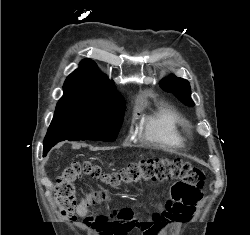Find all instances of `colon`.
I'll return each mask as SVG.
<instances>
[{"mask_svg": "<svg viewBox=\"0 0 250 235\" xmlns=\"http://www.w3.org/2000/svg\"><path fill=\"white\" fill-rule=\"evenodd\" d=\"M100 179L109 186H119L142 179L165 182L174 180L171 199L187 206H196L201 198L205 184L202 170L182 159H146L132 162L123 169L103 172L91 162L74 161L67 165L57 178L54 202L61 215L68 221L76 219L77 197L75 181L82 177ZM107 199L103 193L89 196L87 206L95 210L87 213L86 224L92 225L100 235H128L134 229H142L145 235H155L159 231V222H142L136 219L129 208H117L105 213L99 207Z\"/></svg>", "mask_w": 250, "mask_h": 235, "instance_id": "colon-1", "label": "colon"}]
</instances>
